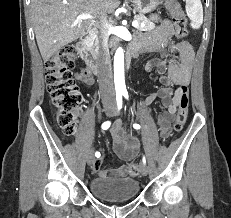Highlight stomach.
Segmentation results:
<instances>
[{"instance_id": "stomach-1", "label": "stomach", "mask_w": 231, "mask_h": 218, "mask_svg": "<svg viewBox=\"0 0 231 218\" xmlns=\"http://www.w3.org/2000/svg\"><path fill=\"white\" fill-rule=\"evenodd\" d=\"M163 0H132L134 6L140 13H150L154 11Z\"/></svg>"}]
</instances>
